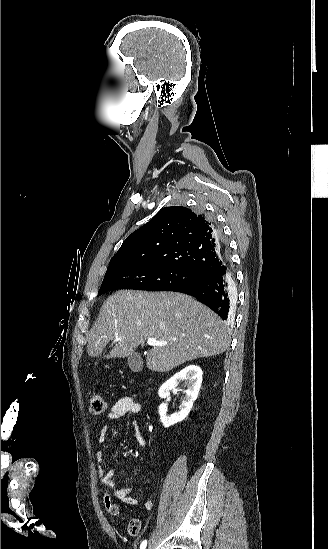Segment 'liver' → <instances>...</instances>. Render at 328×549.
Wrapping results in <instances>:
<instances>
[{"mask_svg": "<svg viewBox=\"0 0 328 549\" xmlns=\"http://www.w3.org/2000/svg\"><path fill=\"white\" fill-rule=\"evenodd\" d=\"M147 339L168 343L147 353L148 369L158 373L172 371L186 361L220 355L230 343L222 319L189 295L116 291L103 303L88 335V355L100 357L106 345L115 341L114 349L104 357L124 359Z\"/></svg>", "mask_w": 328, "mask_h": 549, "instance_id": "liver-1", "label": "liver"}]
</instances>
